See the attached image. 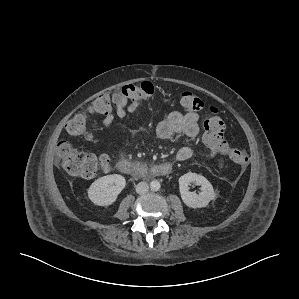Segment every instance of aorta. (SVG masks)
<instances>
[{"instance_id":"762f6f07","label":"aorta","mask_w":299,"mask_h":299,"mask_svg":"<svg viewBox=\"0 0 299 299\" xmlns=\"http://www.w3.org/2000/svg\"><path fill=\"white\" fill-rule=\"evenodd\" d=\"M151 190L158 191L161 187V184L158 180H153L150 183Z\"/></svg>"}]
</instances>
